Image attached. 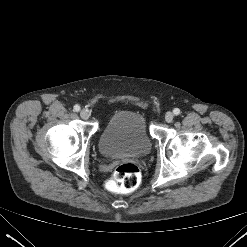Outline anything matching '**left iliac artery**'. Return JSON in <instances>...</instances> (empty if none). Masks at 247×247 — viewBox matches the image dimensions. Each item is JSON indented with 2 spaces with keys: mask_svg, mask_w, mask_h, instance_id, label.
Wrapping results in <instances>:
<instances>
[{
  "mask_svg": "<svg viewBox=\"0 0 247 247\" xmlns=\"http://www.w3.org/2000/svg\"><path fill=\"white\" fill-rule=\"evenodd\" d=\"M173 113H174L175 115H179V114H180V109L175 108V109L173 110Z\"/></svg>",
  "mask_w": 247,
  "mask_h": 247,
  "instance_id": "44dca946",
  "label": "left iliac artery"
}]
</instances>
